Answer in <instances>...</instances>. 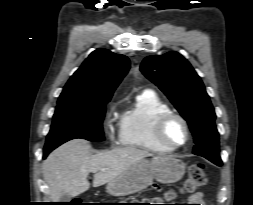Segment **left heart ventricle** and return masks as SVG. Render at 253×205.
Wrapping results in <instances>:
<instances>
[{"label": "left heart ventricle", "mask_w": 253, "mask_h": 205, "mask_svg": "<svg viewBox=\"0 0 253 205\" xmlns=\"http://www.w3.org/2000/svg\"><path fill=\"white\" fill-rule=\"evenodd\" d=\"M166 138L172 143H182L185 139V130L178 120H172L165 131Z\"/></svg>", "instance_id": "b2bd125f"}]
</instances>
